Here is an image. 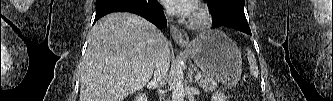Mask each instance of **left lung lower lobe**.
<instances>
[{
  "mask_svg": "<svg viewBox=\"0 0 333 101\" xmlns=\"http://www.w3.org/2000/svg\"><path fill=\"white\" fill-rule=\"evenodd\" d=\"M209 4L213 28L225 26L251 35L244 13L245 0H205ZM238 12V13H237Z\"/></svg>",
  "mask_w": 333,
  "mask_h": 101,
  "instance_id": "obj_1",
  "label": "left lung lower lobe"
}]
</instances>
